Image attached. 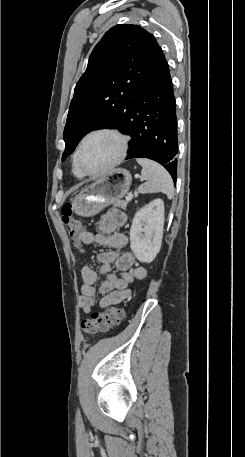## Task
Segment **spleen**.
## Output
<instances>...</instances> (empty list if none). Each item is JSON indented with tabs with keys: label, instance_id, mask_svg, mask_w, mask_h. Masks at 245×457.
Returning <instances> with one entry per match:
<instances>
[{
	"label": "spleen",
	"instance_id": "3e777b00",
	"mask_svg": "<svg viewBox=\"0 0 245 457\" xmlns=\"http://www.w3.org/2000/svg\"><path fill=\"white\" fill-rule=\"evenodd\" d=\"M136 160L142 166V176L146 178V182L138 186V192H141V194H146V192H165L168 198H173V180L168 170L161 166L159 162L149 160V158H136Z\"/></svg>",
	"mask_w": 245,
	"mask_h": 457
}]
</instances>
